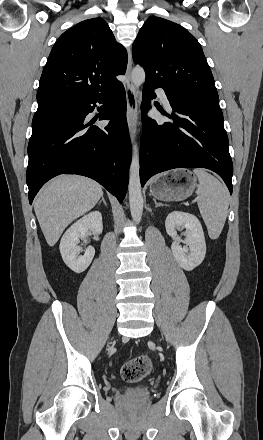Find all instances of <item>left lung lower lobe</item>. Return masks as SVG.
Instances as JSON below:
<instances>
[{"instance_id":"left-lung-lower-lobe-1","label":"left lung lower lobe","mask_w":263,"mask_h":440,"mask_svg":"<svg viewBox=\"0 0 263 440\" xmlns=\"http://www.w3.org/2000/svg\"><path fill=\"white\" fill-rule=\"evenodd\" d=\"M165 90L172 114L163 124L146 116L153 88ZM140 147V180L143 187L153 175L174 168L200 167L219 174L232 193L233 164L219 102L188 100L168 87L145 82Z\"/></svg>"}]
</instances>
